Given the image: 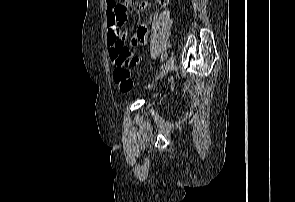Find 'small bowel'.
Returning a JSON list of instances; mask_svg holds the SVG:
<instances>
[{"label": "small bowel", "mask_w": 295, "mask_h": 202, "mask_svg": "<svg viewBox=\"0 0 295 202\" xmlns=\"http://www.w3.org/2000/svg\"><path fill=\"white\" fill-rule=\"evenodd\" d=\"M133 0H124L123 3H117V0H106V20L108 26V47L109 57L114 61L123 59L130 61V66L136 65L141 61V57L135 53L137 47L145 46L148 41V24H141L137 27L132 38L131 45L125 43V36L122 30L123 24L127 20V7L131 6ZM162 6L167 4V0H159ZM148 9V2L142 0L139 4V10L144 12Z\"/></svg>", "instance_id": "small-bowel-1"}]
</instances>
